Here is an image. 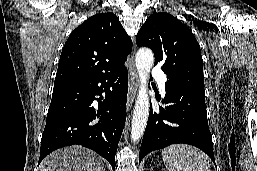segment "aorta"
<instances>
[{
	"mask_svg": "<svg viewBox=\"0 0 257 171\" xmlns=\"http://www.w3.org/2000/svg\"><path fill=\"white\" fill-rule=\"evenodd\" d=\"M153 63L154 55L150 49L141 48L138 50L135 57V64L140 79V86L131 125V137L134 142L141 138L147 125L149 116L147 83Z\"/></svg>",
	"mask_w": 257,
	"mask_h": 171,
	"instance_id": "obj_1",
	"label": "aorta"
}]
</instances>
